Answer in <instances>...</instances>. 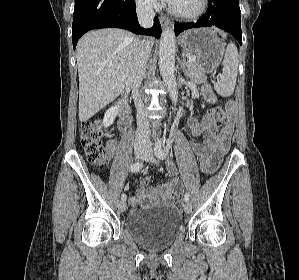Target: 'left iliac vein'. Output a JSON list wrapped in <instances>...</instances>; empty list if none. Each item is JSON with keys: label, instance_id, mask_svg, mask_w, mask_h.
Here are the masks:
<instances>
[{"label": "left iliac vein", "instance_id": "obj_1", "mask_svg": "<svg viewBox=\"0 0 299 280\" xmlns=\"http://www.w3.org/2000/svg\"><path fill=\"white\" fill-rule=\"evenodd\" d=\"M143 159L147 162H151V163H157V161L155 160L154 156H153V152L151 148H148L145 155L143 156ZM191 204L189 202H186L184 204V211L186 213H190L191 212Z\"/></svg>", "mask_w": 299, "mask_h": 280}]
</instances>
